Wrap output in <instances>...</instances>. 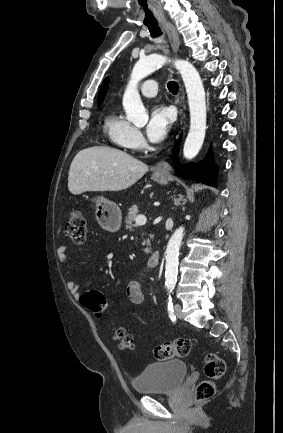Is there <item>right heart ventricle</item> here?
I'll use <instances>...</instances> for the list:
<instances>
[{"instance_id":"1","label":"right heart ventricle","mask_w":283,"mask_h":433,"mask_svg":"<svg viewBox=\"0 0 283 433\" xmlns=\"http://www.w3.org/2000/svg\"><path fill=\"white\" fill-rule=\"evenodd\" d=\"M103 128L113 141L120 143L131 128V125L120 117L116 111H112L105 116Z\"/></svg>"}]
</instances>
